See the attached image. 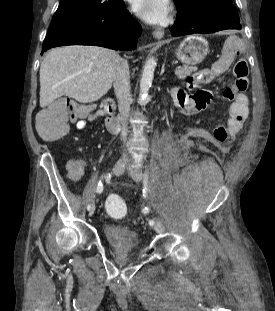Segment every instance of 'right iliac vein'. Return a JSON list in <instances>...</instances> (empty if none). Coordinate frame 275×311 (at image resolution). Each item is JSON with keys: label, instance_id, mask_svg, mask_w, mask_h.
<instances>
[{"label": "right iliac vein", "instance_id": "right-iliac-vein-1", "mask_svg": "<svg viewBox=\"0 0 275 311\" xmlns=\"http://www.w3.org/2000/svg\"><path fill=\"white\" fill-rule=\"evenodd\" d=\"M127 163H128V159L126 158H121L120 160H118V162L115 164L113 168V174L115 176L121 175ZM94 212H95V205H92L91 209L89 210V216H92Z\"/></svg>", "mask_w": 275, "mask_h": 311}]
</instances>
